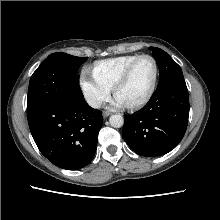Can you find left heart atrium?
Instances as JSON below:
<instances>
[{
    "label": "left heart atrium",
    "instance_id": "39dd6f15",
    "mask_svg": "<svg viewBox=\"0 0 220 220\" xmlns=\"http://www.w3.org/2000/svg\"><path fill=\"white\" fill-rule=\"evenodd\" d=\"M112 104L117 107L126 106V104L121 99H119L117 96L115 97V100L112 102Z\"/></svg>",
    "mask_w": 220,
    "mask_h": 220
}]
</instances>
